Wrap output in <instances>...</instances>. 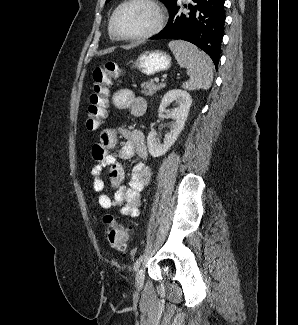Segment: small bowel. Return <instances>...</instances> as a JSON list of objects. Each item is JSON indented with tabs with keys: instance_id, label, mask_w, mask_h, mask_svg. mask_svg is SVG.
I'll list each match as a JSON object with an SVG mask.
<instances>
[{
	"instance_id": "c3829d8e",
	"label": "small bowel",
	"mask_w": 298,
	"mask_h": 325,
	"mask_svg": "<svg viewBox=\"0 0 298 325\" xmlns=\"http://www.w3.org/2000/svg\"><path fill=\"white\" fill-rule=\"evenodd\" d=\"M114 105L119 109H130L135 116L142 115L146 110V103L136 98L129 89L118 90L113 96ZM119 135L126 138V143L120 148L118 158L129 160L137 158L133 165L131 177L127 185L123 184L124 170L118 158L110 154L118 142ZM148 157L144 134L140 130L107 128L102 131L99 143L92 147V158L95 161L91 170L93 188L99 193L98 202L101 208H118L124 216L139 215L141 192L150 182L151 172L146 164ZM108 171L111 186L115 193L113 197L102 193L104 181L102 174Z\"/></svg>"
}]
</instances>
